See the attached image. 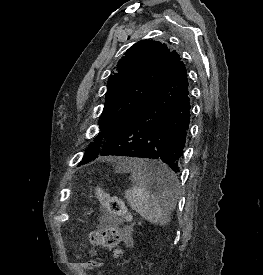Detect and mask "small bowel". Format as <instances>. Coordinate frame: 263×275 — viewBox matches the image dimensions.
<instances>
[{
    "instance_id": "small-bowel-1",
    "label": "small bowel",
    "mask_w": 263,
    "mask_h": 275,
    "mask_svg": "<svg viewBox=\"0 0 263 275\" xmlns=\"http://www.w3.org/2000/svg\"><path fill=\"white\" fill-rule=\"evenodd\" d=\"M119 235L121 241L126 245L130 246L132 243L131 229L127 226L121 227L119 229Z\"/></svg>"
}]
</instances>
